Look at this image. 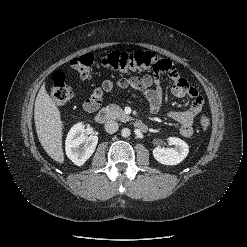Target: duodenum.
Masks as SVG:
<instances>
[{
  "instance_id": "duodenum-1",
  "label": "duodenum",
  "mask_w": 247,
  "mask_h": 247,
  "mask_svg": "<svg viewBox=\"0 0 247 247\" xmlns=\"http://www.w3.org/2000/svg\"><path fill=\"white\" fill-rule=\"evenodd\" d=\"M108 119H109V116H108V113L105 109H101L100 111H98V113L95 116V120L98 123H104ZM135 126H136V128H138L141 131H146L148 128L147 125L142 121H136Z\"/></svg>"
}]
</instances>
